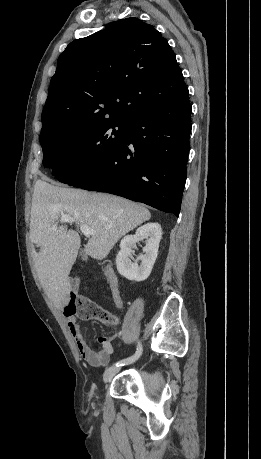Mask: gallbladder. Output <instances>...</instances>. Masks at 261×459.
Wrapping results in <instances>:
<instances>
[{"mask_svg": "<svg viewBox=\"0 0 261 459\" xmlns=\"http://www.w3.org/2000/svg\"><path fill=\"white\" fill-rule=\"evenodd\" d=\"M80 255H81L82 260H85L86 257H87L85 250H81ZM75 280H76V283L78 284L79 283V278H75Z\"/></svg>", "mask_w": 261, "mask_h": 459, "instance_id": "gallbladder-1", "label": "gallbladder"}]
</instances>
